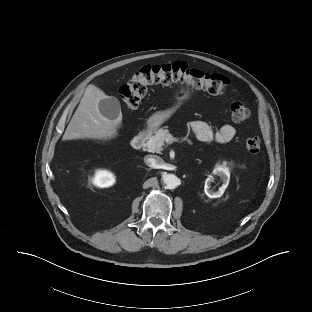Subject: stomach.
I'll return each instance as SVG.
<instances>
[{
  "label": "stomach",
  "mask_w": 312,
  "mask_h": 312,
  "mask_svg": "<svg viewBox=\"0 0 312 312\" xmlns=\"http://www.w3.org/2000/svg\"><path fill=\"white\" fill-rule=\"evenodd\" d=\"M192 96V90L189 87H181L175 93L176 102L171 108L157 111L148 119L149 128L155 129L165 123L176 110L190 97Z\"/></svg>",
  "instance_id": "0dacf381"
}]
</instances>
